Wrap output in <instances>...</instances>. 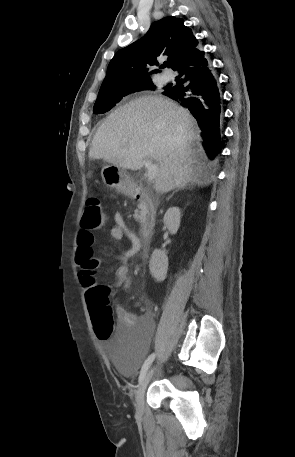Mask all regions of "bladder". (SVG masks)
<instances>
[{
	"instance_id": "obj_1",
	"label": "bladder",
	"mask_w": 295,
	"mask_h": 457,
	"mask_svg": "<svg viewBox=\"0 0 295 457\" xmlns=\"http://www.w3.org/2000/svg\"><path fill=\"white\" fill-rule=\"evenodd\" d=\"M107 344L115 367L122 372L134 371L151 357L150 338H108Z\"/></svg>"
}]
</instances>
